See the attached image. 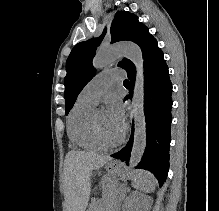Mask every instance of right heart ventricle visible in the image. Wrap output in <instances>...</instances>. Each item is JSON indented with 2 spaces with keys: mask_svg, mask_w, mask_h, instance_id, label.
<instances>
[{
  "mask_svg": "<svg viewBox=\"0 0 219 211\" xmlns=\"http://www.w3.org/2000/svg\"><path fill=\"white\" fill-rule=\"evenodd\" d=\"M95 106L96 104L78 98L67 118L70 140L89 151L106 148V144L96 136L91 125V115Z\"/></svg>",
  "mask_w": 219,
  "mask_h": 211,
  "instance_id": "e07e8e85",
  "label": "right heart ventricle"
}]
</instances>
